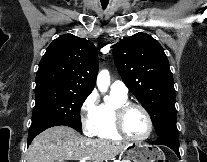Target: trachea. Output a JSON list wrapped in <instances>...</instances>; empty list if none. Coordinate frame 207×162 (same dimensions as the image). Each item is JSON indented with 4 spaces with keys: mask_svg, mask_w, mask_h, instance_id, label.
Returning <instances> with one entry per match:
<instances>
[{
    "mask_svg": "<svg viewBox=\"0 0 207 162\" xmlns=\"http://www.w3.org/2000/svg\"><path fill=\"white\" fill-rule=\"evenodd\" d=\"M101 1V5L103 7V9H105L109 3V0H100Z\"/></svg>",
    "mask_w": 207,
    "mask_h": 162,
    "instance_id": "3493384b",
    "label": "trachea"
}]
</instances>
